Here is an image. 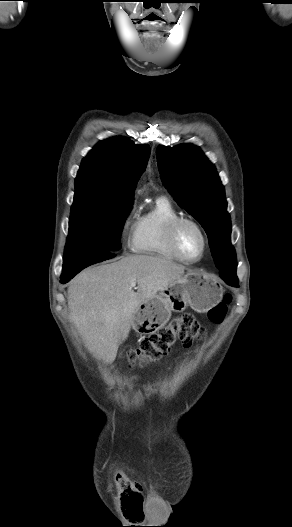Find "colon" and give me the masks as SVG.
<instances>
[{
  "label": "colon",
  "instance_id": "colon-1",
  "mask_svg": "<svg viewBox=\"0 0 292 527\" xmlns=\"http://www.w3.org/2000/svg\"><path fill=\"white\" fill-rule=\"evenodd\" d=\"M230 297L214 306L208 312V318L213 323H220L226 313ZM205 329L198 320L189 313L173 318L168 325L145 338L136 348L127 352V358L132 364L155 362L167 355L172 347L180 342L185 347H191L196 341L203 339ZM120 502L122 507L132 513V505L140 512L142 507L141 492L131 481H125Z\"/></svg>",
  "mask_w": 292,
  "mask_h": 527
}]
</instances>
